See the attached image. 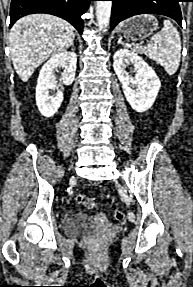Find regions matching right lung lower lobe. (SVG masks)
Masks as SVG:
<instances>
[{"label": "right lung lower lobe", "mask_w": 193, "mask_h": 287, "mask_svg": "<svg viewBox=\"0 0 193 287\" xmlns=\"http://www.w3.org/2000/svg\"><path fill=\"white\" fill-rule=\"evenodd\" d=\"M94 0H12L10 6V28L21 17L46 13L61 17L70 22L81 34L83 31L84 14Z\"/></svg>", "instance_id": "1"}]
</instances>
